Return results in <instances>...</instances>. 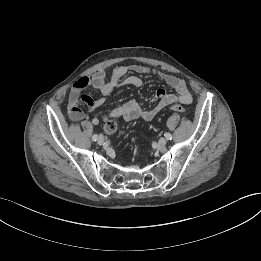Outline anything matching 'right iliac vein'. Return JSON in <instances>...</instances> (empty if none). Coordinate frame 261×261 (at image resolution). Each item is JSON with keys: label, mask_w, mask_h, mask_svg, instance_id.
Returning a JSON list of instances; mask_svg holds the SVG:
<instances>
[{"label": "right iliac vein", "mask_w": 261, "mask_h": 261, "mask_svg": "<svg viewBox=\"0 0 261 261\" xmlns=\"http://www.w3.org/2000/svg\"><path fill=\"white\" fill-rule=\"evenodd\" d=\"M104 137L103 136H99L98 139H97V142L99 145H103L104 144Z\"/></svg>", "instance_id": "1"}]
</instances>
